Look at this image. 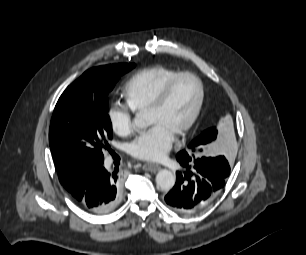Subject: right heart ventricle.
<instances>
[{"mask_svg": "<svg viewBox=\"0 0 306 255\" xmlns=\"http://www.w3.org/2000/svg\"><path fill=\"white\" fill-rule=\"evenodd\" d=\"M179 72L161 65L139 70L124 86L127 105L134 111H145L163 86Z\"/></svg>", "mask_w": 306, "mask_h": 255, "instance_id": "right-heart-ventricle-1", "label": "right heart ventricle"}]
</instances>
